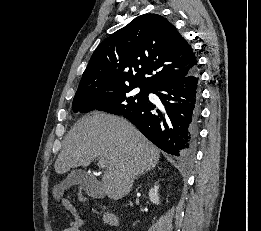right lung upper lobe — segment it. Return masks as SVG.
<instances>
[{"label": "right lung upper lobe", "mask_w": 261, "mask_h": 231, "mask_svg": "<svg viewBox=\"0 0 261 231\" xmlns=\"http://www.w3.org/2000/svg\"><path fill=\"white\" fill-rule=\"evenodd\" d=\"M194 69L197 60L193 50L175 26L163 16L146 14L136 17L97 47L75 96L126 85L151 91Z\"/></svg>", "instance_id": "right-lung-upper-lobe-1"}]
</instances>
